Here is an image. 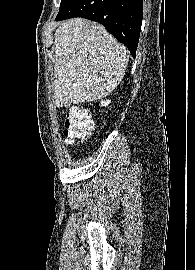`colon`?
<instances>
[{
	"label": "colon",
	"mask_w": 195,
	"mask_h": 270,
	"mask_svg": "<svg viewBox=\"0 0 195 270\" xmlns=\"http://www.w3.org/2000/svg\"><path fill=\"white\" fill-rule=\"evenodd\" d=\"M92 129L93 122L86 109L78 106H72L68 109L63 131L67 144L87 139Z\"/></svg>",
	"instance_id": "colon-1"
}]
</instances>
